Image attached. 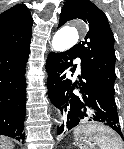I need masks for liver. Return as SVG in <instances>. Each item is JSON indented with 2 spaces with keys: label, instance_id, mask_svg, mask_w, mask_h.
I'll return each instance as SVG.
<instances>
[{
  "label": "liver",
  "instance_id": "1",
  "mask_svg": "<svg viewBox=\"0 0 124 149\" xmlns=\"http://www.w3.org/2000/svg\"><path fill=\"white\" fill-rule=\"evenodd\" d=\"M13 143L6 137L0 136V149H13Z\"/></svg>",
  "mask_w": 124,
  "mask_h": 149
}]
</instances>
